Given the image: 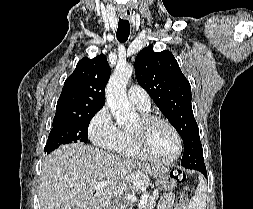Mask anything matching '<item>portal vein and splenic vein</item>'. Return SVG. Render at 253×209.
<instances>
[{
	"mask_svg": "<svg viewBox=\"0 0 253 209\" xmlns=\"http://www.w3.org/2000/svg\"><path fill=\"white\" fill-rule=\"evenodd\" d=\"M105 186H106L105 182H98V183L95 184V190L96 191L101 190ZM146 201H147V195H143V196L140 197V202L138 204L139 209L142 208L146 204Z\"/></svg>",
	"mask_w": 253,
	"mask_h": 209,
	"instance_id": "1",
	"label": "portal vein and splenic vein"
}]
</instances>
